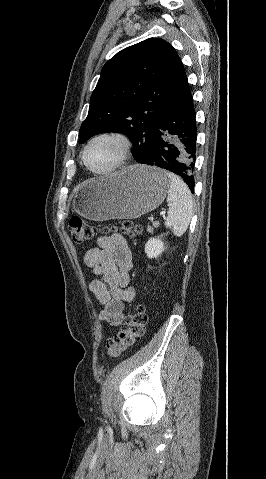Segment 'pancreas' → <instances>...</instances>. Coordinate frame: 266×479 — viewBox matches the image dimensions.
Segmentation results:
<instances>
[{
  "instance_id": "cf45deb5",
  "label": "pancreas",
  "mask_w": 266,
  "mask_h": 479,
  "mask_svg": "<svg viewBox=\"0 0 266 479\" xmlns=\"http://www.w3.org/2000/svg\"><path fill=\"white\" fill-rule=\"evenodd\" d=\"M159 224H160L159 221H153V222H152V226H148V227H147V231H148L149 233H152L153 230H154V228L159 227Z\"/></svg>"
}]
</instances>
